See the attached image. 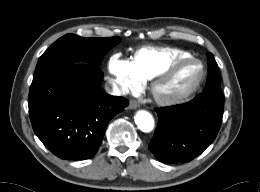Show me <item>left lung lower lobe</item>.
<instances>
[{
  "instance_id": "1",
  "label": "left lung lower lobe",
  "mask_w": 260,
  "mask_h": 192,
  "mask_svg": "<svg viewBox=\"0 0 260 192\" xmlns=\"http://www.w3.org/2000/svg\"><path fill=\"white\" fill-rule=\"evenodd\" d=\"M223 107L222 92L208 91L186 104L155 109L159 122L148 148L164 163L191 161L216 138Z\"/></svg>"
}]
</instances>
